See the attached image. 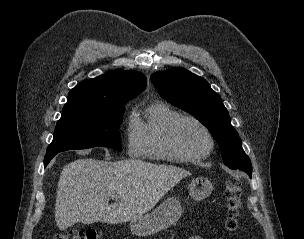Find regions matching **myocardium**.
<instances>
[{
    "instance_id": "1",
    "label": "myocardium",
    "mask_w": 304,
    "mask_h": 239,
    "mask_svg": "<svg viewBox=\"0 0 304 239\" xmlns=\"http://www.w3.org/2000/svg\"><path fill=\"white\" fill-rule=\"evenodd\" d=\"M186 121H190L198 125L206 134L209 146L207 150L201 154H189L185 152L177 141V130L180 125ZM166 144L168 149L181 161L186 162H197L206 159L211 155L215 147V140L211 130L206 124H204L200 119L191 115H180L174 119L167 128L166 131Z\"/></svg>"
}]
</instances>
